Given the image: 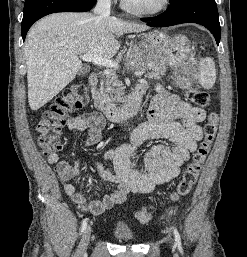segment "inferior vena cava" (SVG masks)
<instances>
[{"instance_id": "obj_1", "label": "inferior vena cava", "mask_w": 247, "mask_h": 257, "mask_svg": "<svg viewBox=\"0 0 247 257\" xmlns=\"http://www.w3.org/2000/svg\"><path fill=\"white\" fill-rule=\"evenodd\" d=\"M111 0H98L94 8V14L100 16L110 15Z\"/></svg>"}]
</instances>
